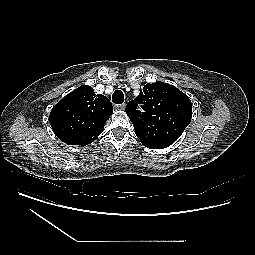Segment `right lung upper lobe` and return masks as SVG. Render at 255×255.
Here are the masks:
<instances>
[{"instance_id":"right-lung-upper-lobe-1","label":"right lung upper lobe","mask_w":255,"mask_h":255,"mask_svg":"<svg viewBox=\"0 0 255 255\" xmlns=\"http://www.w3.org/2000/svg\"><path fill=\"white\" fill-rule=\"evenodd\" d=\"M112 113L113 107L107 97L94 94L90 86H81L53 107L49 121L61 141L87 145L103 131Z\"/></svg>"}]
</instances>
